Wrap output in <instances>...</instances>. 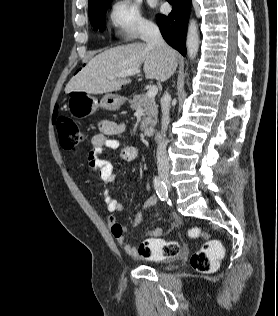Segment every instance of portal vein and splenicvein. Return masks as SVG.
I'll return each mask as SVG.
<instances>
[{"mask_svg":"<svg viewBox=\"0 0 278 316\" xmlns=\"http://www.w3.org/2000/svg\"><path fill=\"white\" fill-rule=\"evenodd\" d=\"M138 73H140V69H131V70L123 71L115 76H113V75L108 76V79L124 78V77H128V76L135 75ZM157 93H158V88H157V86L153 85L148 89L146 96L149 98H154Z\"/></svg>","mask_w":278,"mask_h":316,"instance_id":"obj_1","label":"portal vein and splenic vein"}]
</instances>
